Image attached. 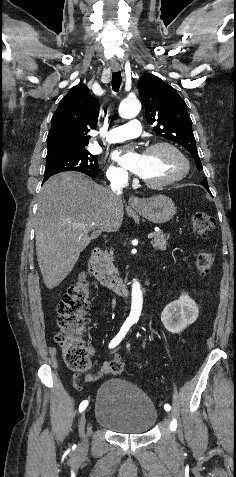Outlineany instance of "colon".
<instances>
[{
  "label": "colon",
  "instance_id": "1",
  "mask_svg": "<svg viewBox=\"0 0 236 477\" xmlns=\"http://www.w3.org/2000/svg\"><path fill=\"white\" fill-rule=\"evenodd\" d=\"M193 228L197 235L206 236L214 228L213 218L205 212H195ZM213 263V253L200 252L196 258V269L201 276H206ZM90 292L87 276L85 273H81L57 305L59 331L55 340L62 349L64 363L70 370L76 372H83L89 366V353L82 334L87 325V314L91 308ZM123 369L124 362L120 358L109 361L111 374H120Z\"/></svg>",
  "mask_w": 236,
  "mask_h": 477
}]
</instances>
